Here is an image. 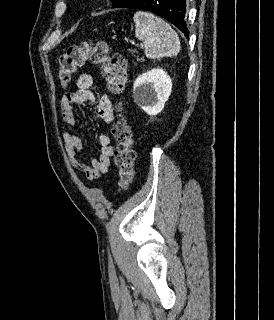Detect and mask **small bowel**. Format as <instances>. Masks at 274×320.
I'll use <instances>...</instances> for the list:
<instances>
[{"instance_id": "obj_1", "label": "small bowel", "mask_w": 274, "mask_h": 320, "mask_svg": "<svg viewBox=\"0 0 274 320\" xmlns=\"http://www.w3.org/2000/svg\"><path fill=\"white\" fill-rule=\"evenodd\" d=\"M93 85V77L90 73H82L77 80V89L73 92L66 93L61 98V113L65 123L74 127L76 125V117L73 110V105L87 104L91 107H96L99 117L107 124L114 121L113 102L109 95L103 94L98 101L91 91ZM64 148L70 160L71 165L84 174L88 179L95 180L101 174L107 173L111 159L115 149L111 143L108 134L100 133L98 136L101 153L98 158L91 161V165L86 164L81 154L83 152V142L80 137L69 132L62 133Z\"/></svg>"}]
</instances>
